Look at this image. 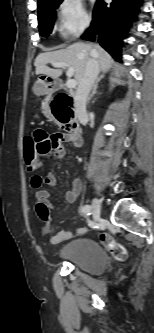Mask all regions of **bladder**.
<instances>
[{
    "label": "bladder",
    "instance_id": "31cf9c89",
    "mask_svg": "<svg viewBox=\"0 0 154 333\" xmlns=\"http://www.w3.org/2000/svg\"><path fill=\"white\" fill-rule=\"evenodd\" d=\"M59 258L92 275L103 273L107 262L102 246L90 239L69 242L60 251Z\"/></svg>",
    "mask_w": 154,
    "mask_h": 333
}]
</instances>
